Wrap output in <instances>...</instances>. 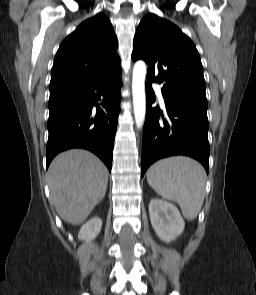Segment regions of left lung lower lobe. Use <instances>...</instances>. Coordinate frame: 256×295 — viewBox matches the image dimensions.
<instances>
[{"mask_svg":"<svg viewBox=\"0 0 256 295\" xmlns=\"http://www.w3.org/2000/svg\"><path fill=\"white\" fill-rule=\"evenodd\" d=\"M146 80V118L143 130L141 176L155 161L173 156L186 155L202 163L209 170V142L207 106L164 95L168 119H160L161 111L152 108L155 100Z\"/></svg>","mask_w":256,"mask_h":295,"instance_id":"left-lung-lower-lobe-1","label":"left lung lower lobe"}]
</instances>
